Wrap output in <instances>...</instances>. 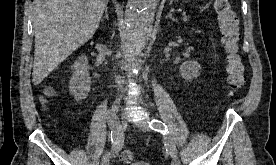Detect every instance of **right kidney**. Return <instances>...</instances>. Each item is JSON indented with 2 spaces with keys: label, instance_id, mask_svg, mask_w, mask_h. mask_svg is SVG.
<instances>
[{
  "label": "right kidney",
  "instance_id": "ca27d5eb",
  "mask_svg": "<svg viewBox=\"0 0 276 165\" xmlns=\"http://www.w3.org/2000/svg\"><path fill=\"white\" fill-rule=\"evenodd\" d=\"M88 69L87 57L85 55L79 56L74 62V71L69 81V91L77 101L85 99L90 91L91 78Z\"/></svg>",
  "mask_w": 276,
  "mask_h": 165
}]
</instances>
